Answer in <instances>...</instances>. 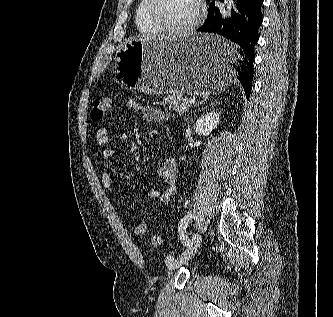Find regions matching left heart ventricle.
<instances>
[{
    "instance_id": "b2bd125f",
    "label": "left heart ventricle",
    "mask_w": 333,
    "mask_h": 317,
    "mask_svg": "<svg viewBox=\"0 0 333 317\" xmlns=\"http://www.w3.org/2000/svg\"><path fill=\"white\" fill-rule=\"evenodd\" d=\"M195 12V0H157V15L171 26L182 27L189 24Z\"/></svg>"
}]
</instances>
